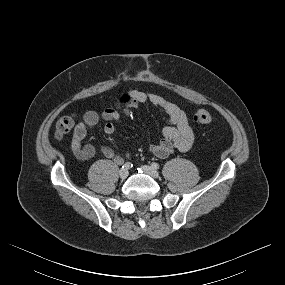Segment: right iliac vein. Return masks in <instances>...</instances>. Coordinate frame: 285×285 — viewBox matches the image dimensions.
<instances>
[{"instance_id":"right-iliac-vein-1","label":"right iliac vein","mask_w":285,"mask_h":285,"mask_svg":"<svg viewBox=\"0 0 285 285\" xmlns=\"http://www.w3.org/2000/svg\"><path fill=\"white\" fill-rule=\"evenodd\" d=\"M128 174H129V172L127 169H121L119 171V176L121 179H126L128 177Z\"/></svg>"}]
</instances>
